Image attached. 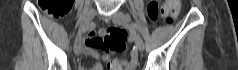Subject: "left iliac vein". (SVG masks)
Returning a JSON list of instances; mask_svg holds the SVG:
<instances>
[{"label": "left iliac vein", "instance_id": "left-iliac-vein-1", "mask_svg": "<svg viewBox=\"0 0 238 70\" xmlns=\"http://www.w3.org/2000/svg\"><path fill=\"white\" fill-rule=\"evenodd\" d=\"M112 19L115 24L122 25L125 27H128V23L130 22V16L128 14L123 13L122 11H117L112 16ZM129 29H130L131 37L134 40L136 49L139 51H143L144 43L141 36L133 27H129Z\"/></svg>", "mask_w": 238, "mask_h": 70}]
</instances>
